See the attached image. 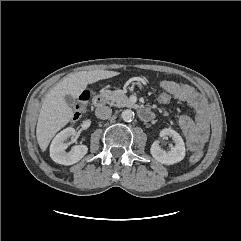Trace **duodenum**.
Here are the masks:
<instances>
[{
  "label": "duodenum",
  "mask_w": 241,
  "mask_h": 241,
  "mask_svg": "<svg viewBox=\"0 0 241 241\" xmlns=\"http://www.w3.org/2000/svg\"><path fill=\"white\" fill-rule=\"evenodd\" d=\"M92 102L96 108H101L105 104V97L97 94L93 97ZM139 117L144 121H149L153 118V113L147 108H142L139 110Z\"/></svg>",
  "instance_id": "410a0bca"
}]
</instances>
